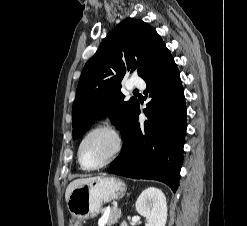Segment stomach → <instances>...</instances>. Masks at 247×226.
Returning <instances> with one entry per match:
<instances>
[{
  "label": "stomach",
  "instance_id": "0dacf381",
  "mask_svg": "<svg viewBox=\"0 0 247 226\" xmlns=\"http://www.w3.org/2000/svg\"><path fill=\"white\" fill-rule=\"evenodd\" d=\"M126 192L125 183L116 177H96L76 187L67 207L72 215L69 226H81L82 221L96 217L103 203L118 199Z\"/></svg>",
  "mask_w": 247,
  "mask_h": 226
}]
</instances>
